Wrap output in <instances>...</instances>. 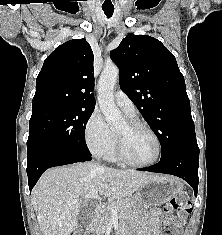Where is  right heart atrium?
<instances>
[{"label": "right heart atrium", "instance_id": "right-heart-atrium-1", "mask_svg": "<svg viewBox=\"0 0 222 235\" xmlns=\"http://www.w3.org/2000/svg\"><path fill=\"white\" fill-rule=\"evenodd\" d=\"M85 141L96 156H106L115 144V135L103 115L95 110L85 125Z\"/></svg>", "mask_w": 222, "mask_h": 235}]
</instances>
